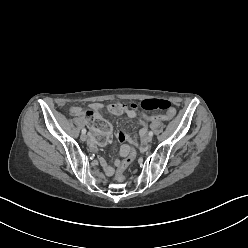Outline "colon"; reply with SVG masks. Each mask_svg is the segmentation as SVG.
Here are the masks:
<instances>
[{"label":"colon","mask_w":248,"mask_h":248,"mask_svg":"<svg viewBox=\"0 0 248 248\" xmlns=\"http://www.w3.org/2000/svg\"><path fill=\"white\" fill-rule=\"evenodd\" d=\"M141 108L146 111L153 110H163L166 114L162 115H148L145 114L144 118L147 119L151 124H156L157 122L169 121L175 114V109L170 101L165 99H147L141 102ZM126 105L115 104L111 106L113 112H120ZM134 107V106H129ZM86 116L92 117L93 113L90 110L85 111ZM90 123L95 130V142L99 146H104L108 142V133L111 131V126L109 123L104 122L101 118H96L90 120ZM127 157L118 164L115 179L119 182L125 181V170L132 163L136 156L135 149L131 146L127 150Z\"/></svg>","instance_id":"obj_1"}]
</instances>
